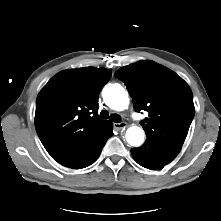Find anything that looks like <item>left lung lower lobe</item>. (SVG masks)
Returning a JSON list of instances; mask_svg holds the SVG:
<instances>
[{
    "label": "left lung lower lobe",
    "mask_w": 221,
    "mask_h": 221,
    "mask_svg": "<svg viewBox=\"0 0 221 221\" xmlns=\"http://www.w3.org/2000/svg\"><path fill=\"white\" fill-rule=\"evenodd\" d=\"M131 153L138 164L151 170H161L178 154L147 140L141 147L132 148Z\"/></svg>",
    "instance_id": "left-lung-lower-lobe-1"
}]
</instances>
